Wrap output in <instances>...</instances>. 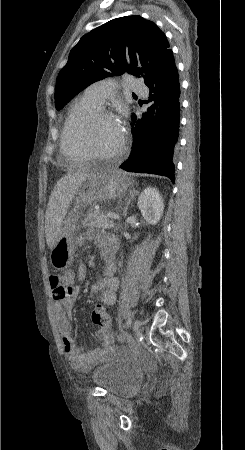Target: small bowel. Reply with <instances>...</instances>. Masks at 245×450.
I'll use <instances>...</instances> for the list:
<instances>
[{
	"label": "small bowel",
	"mask_w": 245,
	"mask_h": 450,
	"mask_svg": "<svg viewBox=\"0 0 245 450\" xmlns=\"http://www.w3.org/2000/svg\"><path fill=\"white\" fill-rule=\"evenodd\" d=\"M89 241H95L101 249V257L109 260L104 276L94 283L92 289L100 297L103 305L112 306L115 303V292L118 287V279L115 277L116 239L108 233L98 234L92 231L82 233L77 238V243L81 246L86 245ZM74 278L73 273H69L66 276L52 274L49 276L48 281L54 303V316L61 334L63 351L74 369L86 371L110 348L112 336L108 330L98 327L96 334L103 341L101 348L85 350L82 346L77 347L75 345L70 315L79 297L80 287L74 283ZM77 278L80 281L86 278V269L84 267L80 266L78 268Z\"/></svg>",
	"instance_id": "obj_1"
}]
</instances>
